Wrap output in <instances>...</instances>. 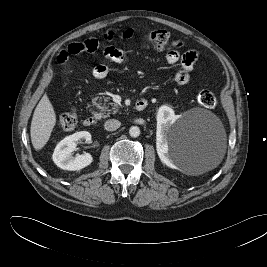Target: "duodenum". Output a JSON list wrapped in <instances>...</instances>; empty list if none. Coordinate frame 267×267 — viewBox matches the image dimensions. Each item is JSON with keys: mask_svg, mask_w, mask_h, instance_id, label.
<instances>
[{"mask_svg": "<svg viewBox=\"0 0 267 267\" xmlns=\"http://www.w3.org/2000/svg\"><path fill=\"white\" fill-rule=\"evenodd\" d=\"M147 105H148V101L146 99L142 98V99H139L136 101L135 109L137 111H142L147 107ZM96 122H97V120L94 116H88L83 120L84 126H87V127L95 125Z\"/></svg>", "mask_w": 267, "mask_h": 267, "instance_id": "1", "label": "duodenum"}]
</instances>
